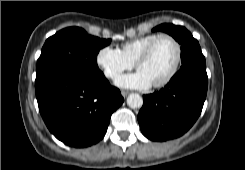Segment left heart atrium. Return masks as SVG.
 Returning a JSON list of instances; mask_svg holds the SVG:
<instances>
[{
  "label": "left heart atrium",
  "mask_w": 245,
  "mask_h": 170,
  "mask_svg": "<svg viewBox=\"0 0 245 170\" xmlns=\"http://www.w3.org/2000/svg\"><path fill=\"white\" fill-rule=\"evenodd\" d=\"M116 84L125 88H147L151 85L150 80L141 72L120 76Z\"/></svg>",
  "instance_id": "39dd6f15"
}]
</instances>
